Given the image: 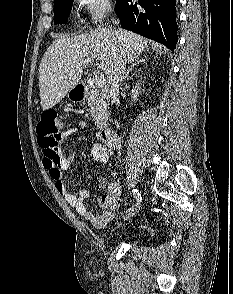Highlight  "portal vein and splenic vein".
Listing matches in <instances>:
<instances>
[{
	"mask_svg": "<svg viewBox=\"0 0 233 294\" xmlns=\"http://www.w3.org/2000/svg\"><path fill=\"white\" fill-rule=\"evenodd\" d=\"M92 60L91 59H86L84 61V65H90L92 64ZM106 83V77L104 75H98L96 76V79H95V84L98 86V87H103Z\"/></svg>",
	"mask_w": 233,
	"mask_h": 294,
	"instance_id": "1",
	"label": "portal vein and splenic vein"
}]
</instances>
